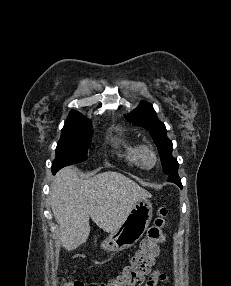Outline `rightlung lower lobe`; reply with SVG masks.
<instances>
[{"label": "right lung lower lobe", "mask_w": 231, "mask_h": 286, "mask_svg": "<svg viewBox=\"0 0 231 286\" xmlns=\"http://www.w3.org/2000/svg\"><path fill=\"white\" fill-rule=\"evenodd\" d=\"M57 171H55L54 169H52V173L55 174Z\"/></svg>", "instance_id": "obj_1"}]
</instances>
